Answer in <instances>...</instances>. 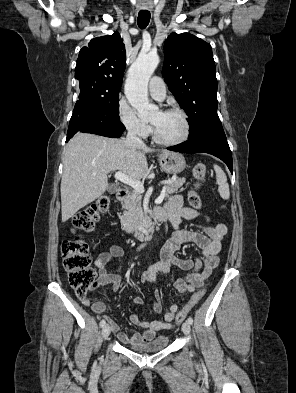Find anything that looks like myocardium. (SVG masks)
<instances>
[{"label": "myocardium", "instance_id": "obj_1", "mask_svg": "<svg viewBox=\"0 0 296 393\" xmlns=\"http://www.w3.org/2000/svg\"><path fill=\"white\" fill-rule=\"evenodd\" d=\"M162 112L176 113V114L180 115V117L182 118L183 124H184V132H183V135L176 140H172V141L163 140L158 136L154 125L151 123V132H152L153 140L156 143L163 145V146H177V145H180V144L184 143L185 141H187V139L190 136L191 126H190L189 118H188V115L186 114V112L184 110H182L180 108H176V107L166 108V109L162 110Z\"/></svg>", "mask_w": 296, "mask_h": 393}]
</instances>
